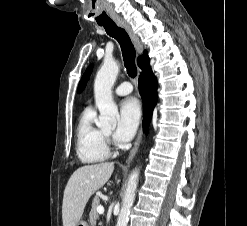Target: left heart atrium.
<instances>
[{
	"instance_id": "39dd6f15",
	"label": "left heart atrium",
	"mask_w": 247,
	"mask_h": 226,
	"mask_svg": "<svg viewBox=\"0 0 247 226\" xmlns=\"http://www.w3.org/2000/svg\"><path fill=\"white\" fill-rule=\"evenodd\" d=\"M141 108L138 100L129 97L123 100L119 109V122L115 136L120 141L130 140L138 127Z\"/></svg>"
}]
</instances>
